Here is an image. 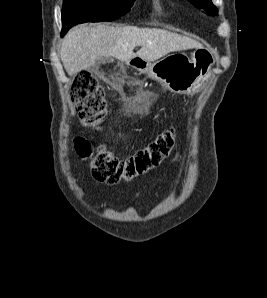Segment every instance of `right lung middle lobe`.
I'll use <instances>...</instances> for the list:
<instances>
[{
    "instance_id": "right-lung-middle-lobe-1",
    "label": "right lung middle lobe",
    "mask_w": 267,
    "mask_h": 298,
    "mask_svg": "<svg viewBox=\"0 0 267 298\" xmlns=\"http://www.w3.org/2000/svg\"><path fill=\"white\" fill-rule=\"evenodd\" d=\"M135 0H64L63 30L88 21H112L125 15Z\"/></svg>"
}]
</instances>
